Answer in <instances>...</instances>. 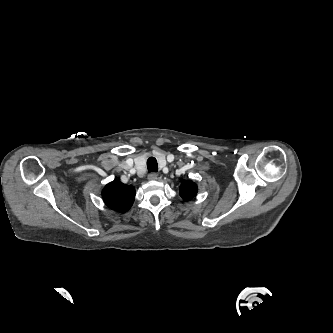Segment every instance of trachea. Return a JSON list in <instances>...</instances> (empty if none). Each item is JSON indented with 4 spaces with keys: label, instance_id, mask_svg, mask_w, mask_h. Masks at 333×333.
Instances as JSON below:
<instances>
[{
    "label": "trachea",
    "instance_id": "1",
    "mask_svg": "<svg viewBox=\"0 0 333 333\" xmlns=\"http://www.w3.org/2000/svg\"><path fill=\"white\" fill-rule=\"evenodd\" d=\"M147 169L148 172H157L158 171V164H157V160L154 157H150L147 160Z\"/></svg>",
    "mask_w": 333,
    "mask_h": 333
}]
</instances>
